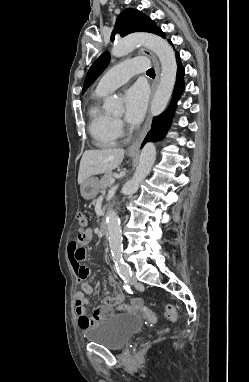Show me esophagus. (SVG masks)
Listing matches in <instances>:
<instances>
[{"label":"esophagus","mask_w":249,"mask_h":382,"mask_svg":"<svg viewBox=\"0 0 249 382\" xmlns=\"http://www.w3.org/2000/svg\"><path fill=\"white\" fill-rule=\"evenodd\" d=\"M140 50L144 55H146L148 58L151 59L153 65H154V68H155L156 77L152 83V96H153V94L155 93V90L157 88L159 79H160V65H159L158 59L156 58V56L152 52H150L149 50H147L145 48H141ZM151 123H152V116H151V113L149 111V113L147 115V119H146L145 124H144V127H143L141 133L139 134V136L137 137V139L128 147V153L136 154L139 152L141 143H142L145 135L149 131V129L151 127Z\"/></svg>","instance_id":"obj_1"}]
</instances>
